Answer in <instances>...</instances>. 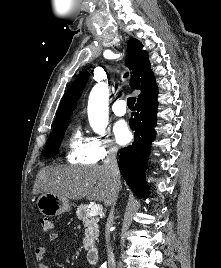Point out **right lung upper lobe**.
Segmentation results:
<instances>
[{"mask_svg": "<svg viewBox=\"0 0 221 268\" xmlns=\"http://www.w3.org/2000/svg\"><path fill=\"white\" fill-rule=\"evenodd\" d=\"M142 48L143 45L139 40L135 38L129 39L127 43L126 65L132 70L130 86L134 89L141 90V94L138 96V102L146 100L157 93V86L151 71L149 56ZM88 78L89 72L83 70L71 84L61 100L56 113L54 126L69 120Z\"/></svg>", "mask_w": 221, "mask_h": 268, "instance_id": "cb5924a9", "label": "right lung upper lobe"}]
</instances>
